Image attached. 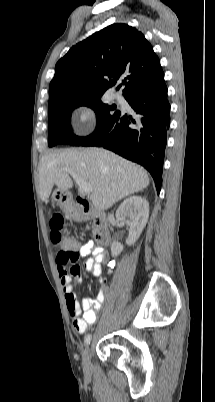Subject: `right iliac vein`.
I'll return each instance as SVG.
<instances>
[{"label":"right iliac vein","instance_id":"obj_1","mask_svg":"<svg viewBox=\"0 0 215 402\" xmlns=\"http://www.w3.org/2000/svg\"><path fill=\"white\" fill-rule=\"evenodd\" d=\"M91 347L88 346L83 354L82 365L83 370L86 374L90 373V364H91Z\"/></svg>","mask_w":215,"mask_h":402}]
</instances>
